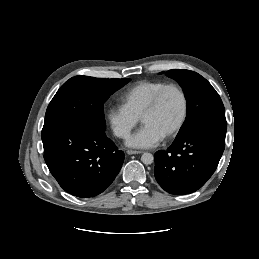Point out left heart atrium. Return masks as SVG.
Here are the masks:
<instances>
[{
	"instance_id": "left-heart-atrium-1",
	"label": "left heart atrium",
	"mask_w": 259,
	"mask_h": 259,
	"mask_svg": "<svg viewBox=\"0 0 259 259\" xmlns=\"http://www.w3.org/2000/svg\"><path fill=\"white\" fill-rule=\"evenodd\" d=\"M163 139L158 131L148 125H144L127 141L128 146L147 149L157 145Z\"/></svg>"
}]
</instances>
